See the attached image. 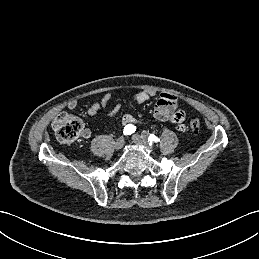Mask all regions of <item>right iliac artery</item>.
<instances>
[{
  "label": "right iliac artery",
  "instance_id": "82829eb1",
  "mask_svg": "<svg viewBox=\"0 0 259 259\" xmlns=\"http://www.w3.org/2000/svg\"><path fill=\"white\" fill-rule=\"evenodd\" d=\"M136 131V127L132 124H128L124 127L123 134L124 135H131Z\"/></svg>",
  "mask_w": 259,
  "mask_h": 259
}]
</instances>
